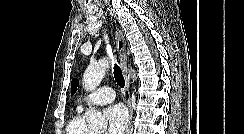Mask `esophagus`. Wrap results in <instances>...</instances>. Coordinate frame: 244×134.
I'll return each instance as SVG.
<instances>
[{"instance_id": "1", "label": "esophagus", "mask_w": 244, "mask_h": 134, "mask_svg": "<svg viewBox=\"0 0 244 134\" xmlns=\"http://www.w3.org/2000/svg\"><path fill=\"white\" fill-rule=\"evenodd\" d=\"M114 35H115V44H116V49L120 61V66L125 80L124 97L129 110V121L126 128V134H129L132 125L133 108L131 104L129 77L127 74L126 42L123 33L118 28H115Z\"/></svg>"}]
</instances>
